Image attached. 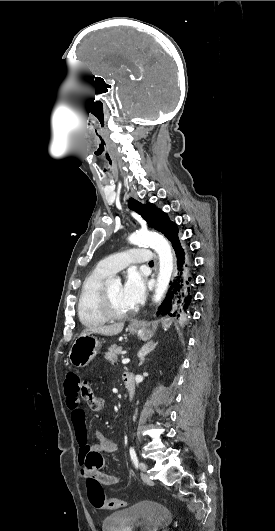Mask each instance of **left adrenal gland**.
Masks as SVG:
<instances>
[{"label":"left adrenal gland","mask_w":275,"mask_h":531,"mask_svg":"<svg viewBox=\"0 0 275 531\" xmlns=\"http://www.w3.org/2000/svg\"><path fill=\"white\" fill-rule=\"evenodd\" d=\"M158 343H152V341H150V343H146V345H142L139 353H138V357H139V365L138 367H140V365H143L144 363V359L146 357V355H148V353H151V351H154L155 347H157Z\"/></svg>","instance_id":"obj_1"}]
</instances>
